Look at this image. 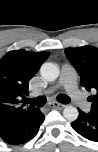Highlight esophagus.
<instances>
[{"label": "esophagus", "instance_id": "1", "mask_svg": "<svg viewBox=\"0 0 98 152\" xmlns=\"http://www.w3.org/2000/svg\"><path fill=\"white\" fill-rule=\"evenodd\" d=\"M48 106H49L50 108H56V109H62V108L65 107L64 104H61V103H58V102H50V103L48 104Z\"/></svg>", "mask_w": 98, "mask_h": 152}]
</instances>
